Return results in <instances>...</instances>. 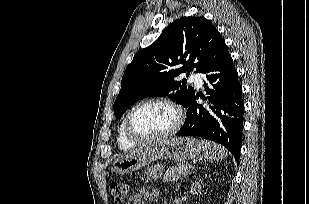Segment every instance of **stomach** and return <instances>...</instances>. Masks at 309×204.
<instances>
[{"mask_svg":"<svg viewBox=\"0 0 309 204\" xmlns=\"http://www.w3.org/2000/svg\"><path fill=\"white\" fill-rule=\"evenodd\" d=\"M201 151L202 145L195 138H164L117 158L112 163V170L118 174H127L164 158L185 162L198 157Z\"/></svg>","mask_w":309,"mask_h":204,"instance_id":"1","label":"stomach"}]
</instances>
